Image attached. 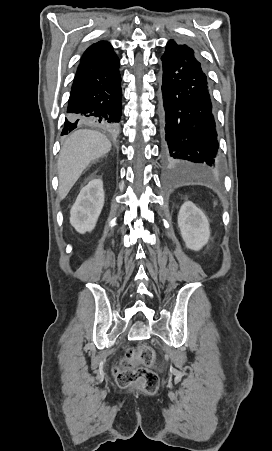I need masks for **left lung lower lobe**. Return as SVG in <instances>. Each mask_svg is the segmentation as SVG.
Returning a JSON list of instances; mask_svg holds the SVG:
<instances>
[{
    "instance_id": "left-lung-lower-lobe-1",
    "label": "left lung lower lobe",
    "mask_w": 272,
    "mask_h": 451,
    "mask_svg": "<svg viewBox=\"0 0 272 451\" xmlns=\"http://www.w3.org/2000/svg\"><path fill=\"white\" fill-rule=\"evenodd\" d=\"M162 60L159 111L162 158L169 167H221L209 81L194 50L168 41Z\"/></svg>"
}]
</instances>
